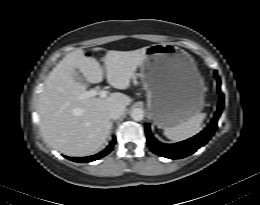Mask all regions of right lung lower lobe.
Returning <instances> with one entry per match:
<instances>
[{
  "label": "right lung lower lobe",
  "mask_w": 260,
  "mask_h": 205,
  "mask_svg": "<svg viewBox=\"0 0 260 205\" xmlns=\"http://www.w3.org/2000/svg\"><path fill=\"white\" fill-rule=\"evenodd\" d=\"M116 142V138L114 137L112 142L109 144V146L102 152H100L99 154L93 155V156H88V157H66L72 161L75 162H80V163H87V162H91L97 159L102 158L103 156L107 155L111 149L113 148L114 144Z\"/></svg>",
  "instance_id": "right-lung-lower-lobe-1"
}]
</instances>
